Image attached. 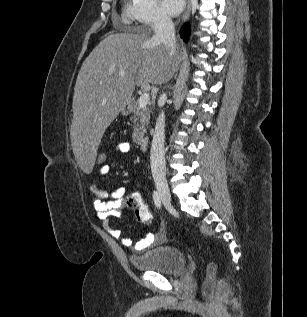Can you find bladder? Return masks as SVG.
Instances as JSON below:
<instances>
[{"label":"bladder","mask_w":307,"mask_h":317,"mask_svg":"<svg viewBox=\"0 0 307 317\" xmlns=\"http://www.w3.org/2000/svg\"><path fill=\"white\" fill-rule=\"evenodd\" d=\"M130 262L136 270L154 271L163 275H175L186 264L183 253L171 246L156 247L141 256H131Z\"/></svg>","instance_id":"1"}]
</instances>
